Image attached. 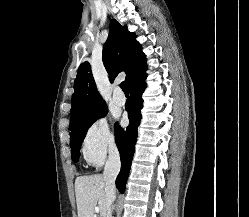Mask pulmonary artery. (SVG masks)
I'll use <instances>...</instances> for the list:
<instances>
[{
	"label": "pulmonary artery",
	"mask_w": 249,
	"mask_h": 217,
	"mask_svg": "<svg viewBox=\"0 0 249 217\" xmlns=\"http://www.w3.org/2000/svg\"><path fill=\"white\" fill-rule=\"evenodd\" d=\"M113 102L118 106H123L125 104V97L119 91L113 95Z\"/></svg>",
	"instance_id": "1"
}]
</instances>
